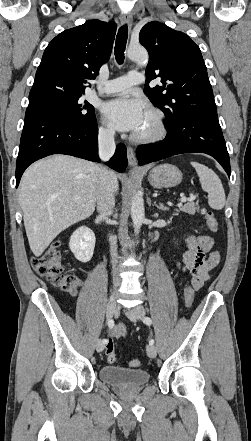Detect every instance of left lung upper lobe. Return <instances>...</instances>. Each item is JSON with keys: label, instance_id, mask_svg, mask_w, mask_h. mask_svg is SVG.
I'll return each instance as SVG.
<instances>
[{"label": "left lung upper lobe", "instance_id": "1", "mask_svg": "<svg viewBox=\"0 0 251 441\" xmlns=\"http://www.w3.org/2000/svg\"><path fill=\"white\" fill-rule=\"evenodd\" d=\"M139 41L149 52L144 91L165 114L166 127L183 115L217 113L201 51L187 34L153 21L141 29ZM157 77L162 85L150 88Z\"/></svg>", "mask_w": 251, "mask_h": 441}]
</instances>
